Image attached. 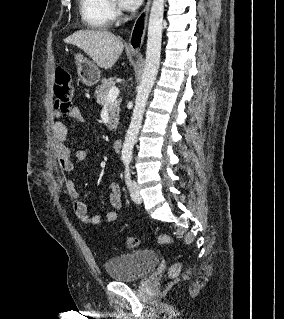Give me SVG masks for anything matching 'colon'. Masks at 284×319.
Instances as JSON below:
<instances>
[{
  "label": "colon",
  "mask_w": 284,
  "mask_h": 319,
  "mask_svg": "<svg viewBox=\"0 0 284 319\" xmlns=\"http://www.w3.org/2000/svg\"><path fill=\"white\" fill-rule=\"evenodd\" d=\"M55 107L62 114L66 115L70 112L74 100V87L72 85L70 74L64 68H57L55 72L54 83ZM158 242L163 245L173 243L171 236L161 234L158 236ZM125 244L129 249L137 248L139 240L135 237H128ZM180 271V264H174L169 271L171 278L177 276Z\"/></svg>",
  "instance_id": "1"
}]
</instances>
